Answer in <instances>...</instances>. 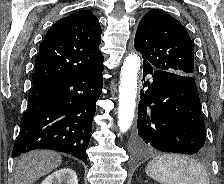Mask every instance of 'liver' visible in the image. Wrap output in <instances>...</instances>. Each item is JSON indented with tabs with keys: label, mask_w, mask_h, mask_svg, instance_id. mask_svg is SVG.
Segmentation results:
<instances>
[{
	"label": "liver",
	"mask_w": 224,
	"mask_h": 184,
	"mask_svg": "<svg viewBox=\"0 0 224 184\" xmlns=\"http://www.w3.org/2000/svg\"><path fill=\"white\" fill-rule=\"evenodd\" d=\"M61 162V155L50 150H35L24 154L15 164V184H33L58 168Z\"/></svg>",
	"instance_id": "6515ba94"
}]
</instances>
